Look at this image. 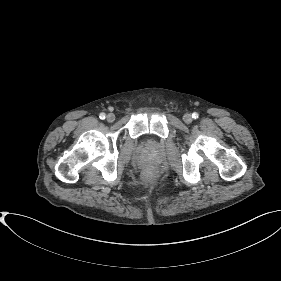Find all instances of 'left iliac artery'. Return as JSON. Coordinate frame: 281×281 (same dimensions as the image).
<instances>
[{
    "mask_svg": "<svg viewBox=\"0 0 281 281\" xmlns=\"http://www.w3.org/2000/svg\"><path fill=\"white\" fill-rule=\"evenodd\" d=\"M198 113H196V112H194L193 114H192V118H194V119H197L198 118Z\"/></svg>",
    "mask_w": 281,
    "mask_h": 281,
    "instance_id": "1",
    "label": "left iliac artery"
}]
</instances>
